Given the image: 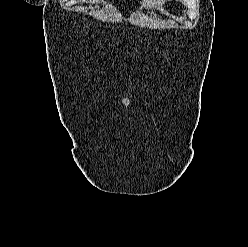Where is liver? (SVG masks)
<instances>
[{
	"label": "liver",
	"instance_id": "obj_1",
	"mask_svg": "<svg viewBox=\"0 0 248 247\" xmlns=\"http://www.w3.org/2000/svg\"><path fill=\"white\" fill-rule=\"evenodd\" d=\"M83 1H85V0H83ZM154 1L156 2V4L159 5V4L161 3L162 0H154Z\"/></svg>",
	"mask_w": 248,
	"mask_h": 247
}]
</instances>
